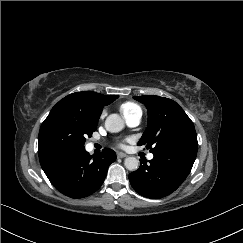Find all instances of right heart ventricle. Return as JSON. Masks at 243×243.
Listing matches in <instances>:
<instances>
[{
	"label": "right heart ventricle",
	"mask_w": 243,
	"mask_h": 243,
	"mask_svg": "<svg viewBox=\"0 0 243 243\" xmlns=\"http://www.w3.org/2000/svg\"><path fill=\"white\" fill-rule=\"evenodd\" d=\"M138 109H140V107L133 102H126V103L122 104L120 107L121 113L123 114L124 117L133 113L134 111H136Z\"/></svg>",
	"instance_id": "right-heart-ventricle-1"
}]
</instances>
